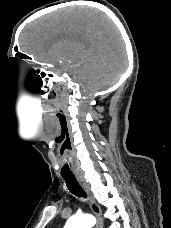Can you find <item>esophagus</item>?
<instances>
[{
  "instance_id": "obj_1",
  "label": "esophagus",
  "mask_w": 171,
  "mask_h": 228,
  "mask_svg": "<svg viewBox=\"0 0 171 228\" xmlns=\"http://www.w3.org/2000/svg\"><path fill=\"white\" fill-rule=\"evenodd\" d=\"M76 179H77L79 185L81 186V188L86 193L90 208L97 219V225L95 228H103V223L101 220V215H102L101 207L97 204L94 196L92 195L91 191L89 190V187H88L87 183L84 181L83 177L80 175H77Z\"/></svg>"
}]
</instances>
